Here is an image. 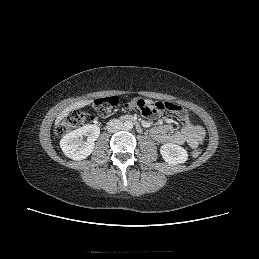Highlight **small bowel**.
Instances as JSON below:
<instances>
[{
    "label": "small bowel",
    "mask_w": 259,
    "mask_h": 259,
    "mask_svg": "<svg viewBox=\"0 0 259 259\" xmlns=\"http://www.w3.org/2000/svg\"><path fill=\"white\" fill-rule=\"evenodd\" d=\"M182 122V127L178 131H173L172 125L160 124L151 129V136L160 144L187 143L191 148L199 147L205 138V130L200 124H196L191 120L188 112L181 106L176 105V109L172 110Z\"/></svg>",
    "instance_id": "c3829d8e"
}]
</instances>
